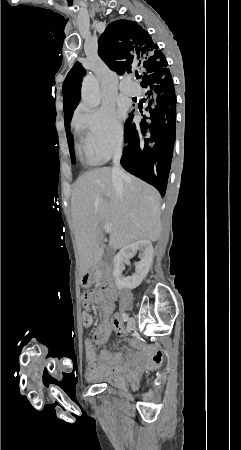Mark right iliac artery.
I'll return each mask as SVG.
<instances>
[{
	"label": "right iliac artery",
	"mask_w": 241,
	"mask_h": 450,
	"mask_svg": "<svg viewBox=\"0 0 241 450\" xmlns=\"http://www.w3.org/2000/svg\"><path fill=\"white\" fill-rule=\"evenodd\" d=\"M122 318L124 321H128V315L127 314H122Z\"/></svg>",
	"instance_id": "obj_1"
}]
</instances>
